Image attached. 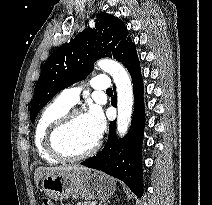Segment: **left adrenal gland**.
I'll return each instance as SVG.
<instances>
[{"instance_id": "left-adrenal-gland-1", "label": "left adrenal gland", "mask_w": 212, "mask_h": 205, "mask_svg": "<svg viewBox=\"0 0 212 205\" xmlns=\"http://www.w3.org/2000/svg\"><path fill=\"white\" fill-rule=\"evenodd\" d=\"M99 205H102V203H100ZM103 205H106V203H104Z\"/></svg>"}]
</instances>
